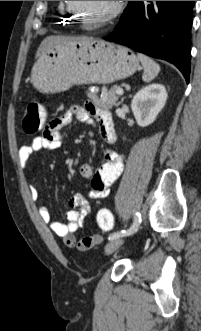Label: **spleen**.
Here are the masks:
<instances>
[{
  "instance_id": "spleen-1",
  "label": "spleen",
  "mask_w": 201,
  "mask_h": 331,
  "mask_svg": "<svg viewBox=\"0 0 201 331\" xmlns=\"http://www.w3.org/2000/svg\"><path fill=\"white\" fill-rule=\"evenodd\" d=\"M138 58L144 68L142 79L144 82L152 81L160 72V66L152 58L138 53Z\"/></svg>"
}]
</instances>
